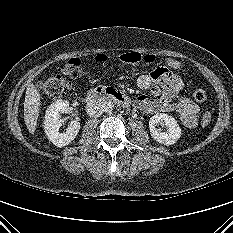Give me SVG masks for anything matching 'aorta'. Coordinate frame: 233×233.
I'll return each instance as SVG.
<instances>
[{
	"label": "aorta",
	"instance_id": "1",
	"mask_svg": "<svg viewBox=\"0 0 233 233\" xmlns=\"http://www.w3.org/2000/svg\"><path fill=\"white\" fill-rule=\"evenodd\" d=\"M114 104L111 101L104 102V112H111L113 110Z\"/></svg>",
	"mask_w": 233,
	"mask_h": 233
}]
</instances>
